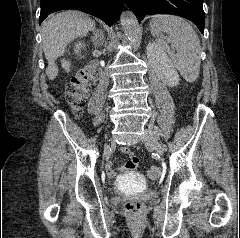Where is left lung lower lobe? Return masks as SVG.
Instances as JSON below:
<instances>
[{
	"label": "left lung lower lobe",
	"mask_w": 240,
	"mask_h": 238,
	"mask_svg": "<svg viewBox=\"0 0 240 238\" xmlns=\"http://www.w3.org/2000/svg\"><path fill=\"white\" fill-rule=\"evenodd\" d=\"M203 0H125L126 5L141 22L146 15L171 14L192 21L204 32Z\"/></svg>",
	"instance_id": "0a47b994"
}]
</instances>
